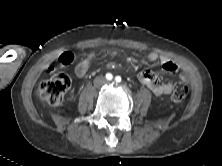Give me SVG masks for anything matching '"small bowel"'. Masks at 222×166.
<instances>
[{
  "mask_svg": "<svg viewBox=\"0 0 222 166\" xmlns=\"http://www.w3.org/2000/svg\"><path fill=\"white\" fill-rule=\"evenodd\" d=\"M114 52V50L104 51L105 54ZM95 56L96 53L91 52L87 54V56L76 65L75 74L77 77L83 78L86 75ZM148 60L151 62L159 61L162 65L163 70L168 73H176L179 70L175 62L165 56L158 55L156 52L149 53ZM138 79L142 84L146 85L156 96L169 94L172 90V83L162 82L158 78V76L150 70L140 71L138 73ZM180 79L184 83L187 82V77L183 73H180Z\"/></svg>",
  "mask_w": 222,
  "mask_h": 166,
  "instance_id": "obj_1",
  "label": "small bowel"
}]
</instances>
